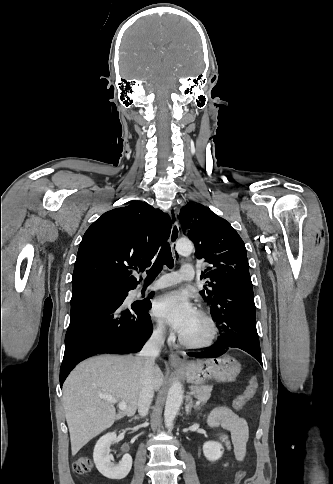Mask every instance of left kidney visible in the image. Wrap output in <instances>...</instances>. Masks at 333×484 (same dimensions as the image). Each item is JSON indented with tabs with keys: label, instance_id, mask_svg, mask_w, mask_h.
<instances>
[{
	"label": "left kidney",
	"instance_id": "1",
	"mask_svg": "<svg viewBox=\"0 0 333 484\" xmlns=\"http://www.w3.org/2000/svg\"><path fill=\"white\" fill-rule=\"evenodd\" d=\"M203 453L209 461H217L223 455V446L217 441H207L203 445Z\"/></svg>",
	"mask_w": 333,
	"mask_h": 484
}]
</instances>
